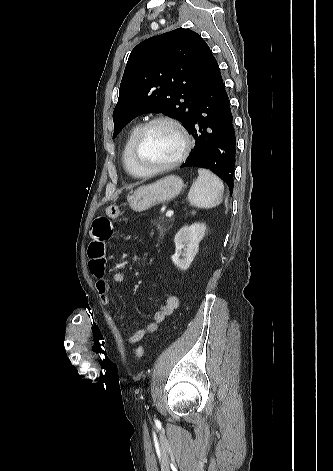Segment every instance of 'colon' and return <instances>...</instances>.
I'll return each instance as SVG.
<instances>
[{
    "label": "colon",
    "instance_id": "colon-1",
    "mask_svg": "<svg viewBox=\"0 0 333 471\" xmlns=\"http://www.w3.org/2000/svg\"><path fill=\"white\" fill-rule=\"evenodd\" d=\"M105 214L109 218H118L121 215V210L117 206L110 205L106 207ZM143 353H144V348L142 346H139L136 348L135 355L137 358L142 357Z\"/></svg>",
    "mask_w": 333,
    "mask_h": 471
}]
</instances>
